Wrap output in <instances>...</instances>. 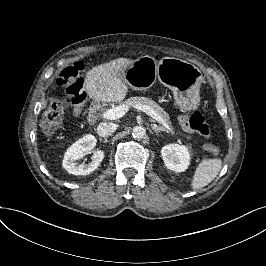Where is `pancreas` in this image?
Returning <instances> with one entry per match:
<instances>
[{
  "label": "pancreas",
  "mask_w": 266,
  "mask_h": 266,
  "mask_svg": "<svg viewBox=\"0 0 266 266\" xmlns=\"http://www.w3.org/2000/svg\"><path fill=\"white\" fill-rule=\"evenodd\" d=\"M129 105L134 109H137L139 106H147L157 113L158 116H161L165 121L171 122L169 114L164 111L160 105L156 104L154 101L143 98L136 97L129 100Z\"/></svg>",
  "instance_id": "obj_1"
}]
</instances>
